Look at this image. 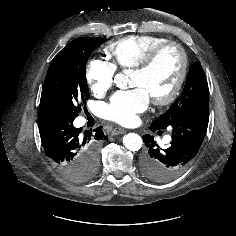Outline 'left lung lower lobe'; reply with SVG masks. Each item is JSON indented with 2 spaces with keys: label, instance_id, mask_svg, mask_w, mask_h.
<instances>
[{
  "label": "left lung lower lobe",
  "instance_id": "1",
  "mask_svg": "<svg viewBox=\"0 0 236 236\" xmlns=\"http://www.w3.org/2000/svg\"><path fill=\"white\" fill-rule=\"evenodd\" d=\"M208 121L209 102H204L192 106L171 122L169 127L172 129V141L168 147L161 148L153 136L144 135L143 142L147 147L141 158L144 176L156 182H166L177 177L198 153Z\"/></svg>",
  "mask_w": 236,
  "mask_h": 236
}]
</instances>
